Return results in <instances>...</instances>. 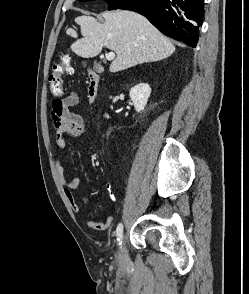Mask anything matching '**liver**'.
<instances>
[{"label":"liver","mask_w":249,"mask_h":294,"mask_svg":"<svg viewBox=\"0 0 249 294\" xmlns=\"http://www.w3.org/2000/svg\"><path fill=\"white\" fill-rule=\"evenodd\" d=\"M79 16L82 38L77 39L71 50L83 58L97 56L104 46L113 50L116 57L110 72H118L138 64L160 61L175 51V46L145 17L131 11L116 10L102 14L104 23L94 17ZM66 34L77 38V32L69 28Z\"/></svg>","instance_id":"obj_1"}]
</instances>
